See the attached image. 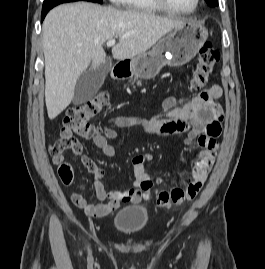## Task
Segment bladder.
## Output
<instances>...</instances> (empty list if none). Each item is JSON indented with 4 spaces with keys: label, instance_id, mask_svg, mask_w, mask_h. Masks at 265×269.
I'll return each instance as SVG.
<instances>
[{
    "label": "bladder",
    "instance_id": "31cf9c89",
    "mask_svg": "<svg viewBox=\"0 0 265 269\" xmlns=\"http://www.w3.org/2000/svg\"><path fill=\"white\" fill-rule=\"evenodd\" d=\"M149 218L150 213L147 208L129 206L114 215L113 228L122 234H137L147 227Z\"/></svg>",
    "mask_w": 265,
    "mask_h": 269
}]
</instances>
